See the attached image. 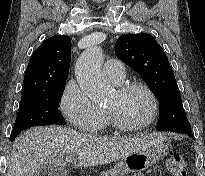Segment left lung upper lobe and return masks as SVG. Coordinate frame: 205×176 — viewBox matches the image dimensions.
<instances>
[{
  "instance_id": "obj_1",
  "label": "left lung upper lobe",
  "mask_w": 205,
  "mask_h": 176,
  "mask_svg": "<svg viewBox=\"0 0 205 176\" xmlns=\"http://www.w3.org/2000/svg\"><path fill=\"white\" fill-rule=\"evenodd\" d=\"M115 54L140 74L161 103L159 131H191L179 88L163 48L149 34L121 36Z\"/></svg>"
}]
</instances>
